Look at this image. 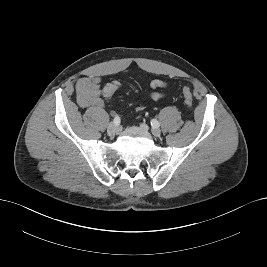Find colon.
<instances>
[{"label": "colon", "instance_id": "colon-1", "mask_svg": "<svg viewBox=\"0 0 267 267\" xmlns=\"http://www.w3.org/2000/svg\"><path fill=\"white\" fill-rule=\"evenodd\" d=\"M120 85H121V83L118 82V81H113V82L108 83L103 89V97L105 99L109 100L111 95H112V93L118 87H120ZM182 92H183V96H184V99H185V103L187 104L188 107H191L192 103H193V95H192L190 89L187 88V87H184Z\"/></svg>", "mask_w": 267, "mask_h": 267}]
</instances>
